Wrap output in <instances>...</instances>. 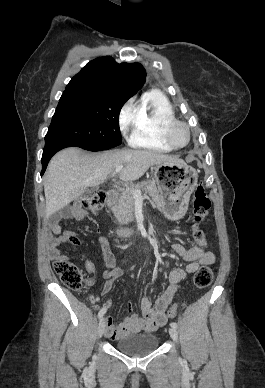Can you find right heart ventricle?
Listing matches in <instances>:
<instances>
[{"label":"right heart ventricle","instance_id":"1","mask_svg":"<svg viewBox=\"0 0 265 388\" xmlns=\"http://www.w3.org/2000/svg\"><path fill=\"white\" fill-rule=\"evenodd\" d=\"M162 96L161 91H150L138 104L131 137L134 145L161 152L172 149L164 130L166 123L174 118V112L170 103Z\"/></svg>","mask_w":265,"mask_h":388}]
</instances>
